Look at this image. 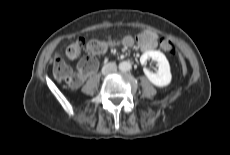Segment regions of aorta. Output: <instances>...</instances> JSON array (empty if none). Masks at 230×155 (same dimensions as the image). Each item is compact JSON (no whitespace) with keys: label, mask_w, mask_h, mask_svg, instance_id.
Segmentation results:
<instances>
[{"label":"aorta","mask_w":230,"mask_h":155,"mask_svg":"<svg viewBox=\"0 0 230 155\" xmlns=\"http://www.w3.org/2000/svg\"><path fill=\"white\" fill-rule=\"evenodd\" d=\"M119 68L121 71H129L132 68V65L129 61H123L120 63Z\"/></svg>","instance_id":"1"}]
</instances>
